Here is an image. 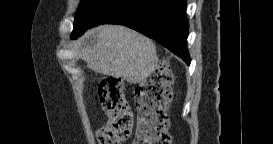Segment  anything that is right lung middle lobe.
Masks as SVG:
<instances>
[{"instance_id": "dd1d6c3e", "label": "right lung middle lobe", "mask_w": 273, "mask_h": 144, "mask_svg": "<svg viewBox=\"0 0 273 144\" xmlns=\"http://www.w3.org/2000/svg\"><path fill=\"white\" fill-rule=\"evenodd\" d=\"M112 0H81L74 20V30L71 38L76 39L88 28L96 15Z\"/></svg>"}]
</instances>
